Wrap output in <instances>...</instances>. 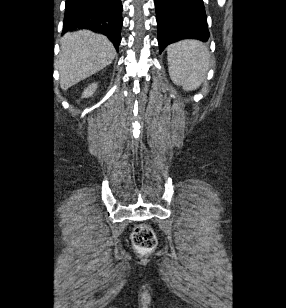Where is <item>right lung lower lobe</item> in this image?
Masks as SVG:
<instances>
[{
	"mask_svg": "<svg viewBox=\"0 0 286 308\" xmlns=\"http://www.w3.org/2000/svg\"><path fill=\"white\" fill-rule=\"evenodd\" d=\"M122 24L121 0H66L62 34L77 28L97 30L118 51Z\"/></svg>",
	"mask_w": 286,
	"mask_h": 308,
	"instance_id": "obj_1",
	"label": "right lung lower lobe"
}]
</instances>
